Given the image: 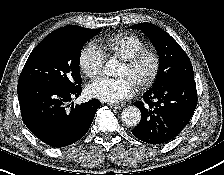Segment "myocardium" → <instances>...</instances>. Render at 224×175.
<instances>
[{"label":"myocardium","instance_id":"1","mask_svg":"<svg viewBox=\"0 0 224 175\" xmlns=\"http://www.w3.org/2000/svg\"><path fill=\"white\" fill-rule=\"evenodd\" d=\"M145 61L150 62V70L146 77L135 83L139 89H146L155 82L161 66L159 54L152 50L143 49L133 57L124 60V64L130 71H136Z\"/></svg>","mask_w":224,"mask_h":175}]
</instances>
